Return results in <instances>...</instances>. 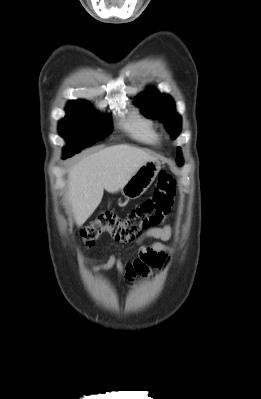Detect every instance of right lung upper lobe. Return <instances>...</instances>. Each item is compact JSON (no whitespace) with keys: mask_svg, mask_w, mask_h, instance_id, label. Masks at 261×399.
<instances>
[{"mask_svg":"<svg viewBox=\"0 0 261 399\" xmlns=\"http://www.w3.org/2000/svg\"><path fill=\"white\" fill-rule=\"evenodd\" d=\"M71 102H85L83 100L71 101Z\"/></svg>","mask_w":261,"mask_h":399,"instance_id":"1","label":"right lung upper lobe"}]
</instances>
